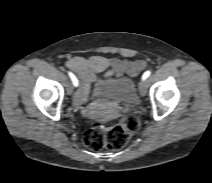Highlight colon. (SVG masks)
<instances>
[{
    "label": "colon",
    "instance_id": "colon-1",
    "mask_svg": "<svg viewBox=\"0 0 212 183\" xmlns=\"http://www.w3.org/2000/svg\"><path fill=\"white\" fill-rule=\"evenodd\" d=\"M139 128L140 120L134 115H127L117 123L94 122L84 133L83 141L94 151L103 148L118 150L126 145Z\"/></svg>",
    "mask_w": 212,
    "mask_h": 183
}]
</instances>
